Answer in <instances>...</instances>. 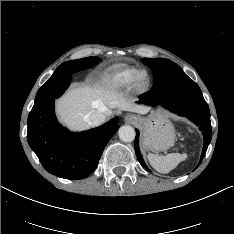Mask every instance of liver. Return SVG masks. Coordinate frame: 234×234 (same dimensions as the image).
<instances>
[{
  "label": "liver",
  "instance_id": "1",
  "mask_svg": "<svg viewBox=\"0 0 234 234\" xmlns=\"http://www.w3.org/2000/svg\"><path fill=\"white\" fill-rule=\"evenodd\" d=\"M104 107L107 117L112 115L114 108L139 114L149 111L148 107L134 105L132 100L101 86L71 88L56 102V112L60 120L72 130L87 129L90 125L85 116L92 111L103 110Z\"/></svg>",
  "mask_w": 234,
  "mask_h": 234
}]
</instances>
